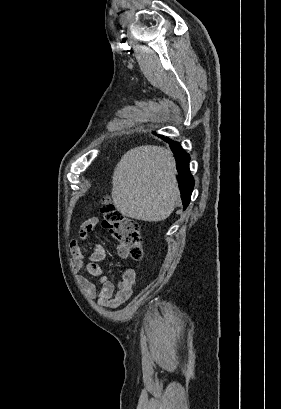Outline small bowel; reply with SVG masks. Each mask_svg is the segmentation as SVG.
I'll return each instance as SVG.
<instances>
[{
    "instance_id": "1",
    "label": "small bowel",
    "mask_w": 281,
    "mask_h": 409,
    "mask_svg": "<svg viewBox=\"0 0 281 409\" xmlns=\"http://www.w3.org/2000/svg\"><path fill=\"white\" fill-rule=\"evenodd\" d=\"M89 220L91 222H82L80 225L82 235H96L97 233V228L94 224H99L101 217L94 215ZM70 249L72 252L71 263L73 270L78 272L85 269L100 284L101 288L97 290L96 285L84 276H78V283L91 297L97 298L101 305L117 307L131 297L137 275L135 269L127 268L121 280L115 285L103 274V271L97 265V262L105 258V250L102 246L95 245L88 259H86L82 247L76 240L71 241ZM119 254L121 257H126V253L122 249L119 250Z\"/></svg>"
}]
</instances>
